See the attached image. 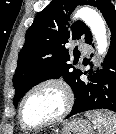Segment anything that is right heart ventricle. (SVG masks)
Masks as SVG:
<instances>
[{"label": "right heart ventricle", "instance_id": "1", "mask_svg": "<svg viewBox=\"0 0 116 134\" xmlns=\"http://www.w3.org/2000/svg\"><path fill=\"white\" fill-rule=\"evenodd\" d=\"M21 128L23 129V130H25L26 128H24L23 126H21Z\"/></svg>", "mask_w": 116, "mask_h": 134}]
</instances>
